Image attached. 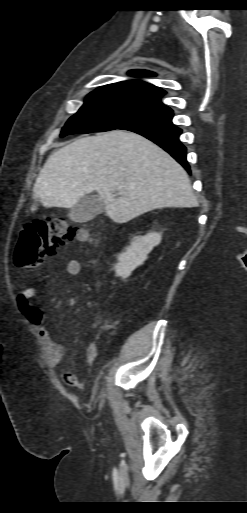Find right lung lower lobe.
<instances>
[{
    "mask_svg": "<svg viewBox=\"0 0 247 513\" xmlns=\"http://www.w3.org/2000/svg\"><path fill=\"white\" fill-rule=\"evenodd\" d=\"M172 117L173 113L170 112L127 124L121 129L138 133L153 141L190 172V166L186 161V147L179 140L182 130L172 123Z\"/></svg>",
    "mask_w": 247,
    "mask_h": 513,
    "instance_id": "1",
    "label": "right lung lower lobe"
}]
</instances>
